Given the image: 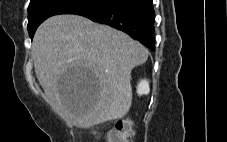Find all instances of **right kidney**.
I'll list each match as a JSON object with an SVG mask.
<instances>
[{
    "instance_id": "right-kidney-1",
    "label": "right kidney",
    "mask_w": 227,
    "mask_h": 142,
    "mask_svg": "<svg viewBox=\"0 0 227 142\" xmlns=\"http://www.w3.org/2000/svg\"><path fill=\"white\" fill-rule=\"evenodd\" d=\"M150 91L149 83L147 80H141L137 86L138 95H147Z\"/></svg>"
}]
</instances>
